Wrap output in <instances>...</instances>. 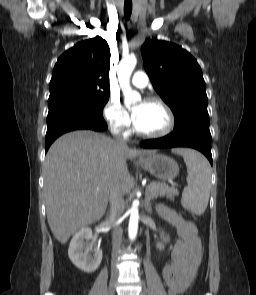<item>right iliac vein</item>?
<instances>
[{
  "label": "right iliac vein",
  "mask_w": 256,
  "mask_h": 295,
  "mask_svg": "<svg viewBox=\"0 0 256 295\" xmlns=\"http://www.w3.org/2000/svg\"><path fill=\"white\" fill-rule=\"evenodd\" d=\"M117 283V276H113L111 281H110V287H109V293L108 295H115V286Z\"/></svg>",
  "instance_id": "right-iliac-vein-1"
}]
</instances>
